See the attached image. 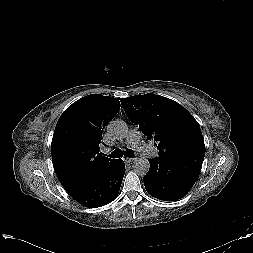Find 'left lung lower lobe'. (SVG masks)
Segmentation results:
<instances>
[{"mask_svg": "<svg viewBox=\"0 0 253 253\" xmlns=\"http://www.w3.org/2000/svg\"><path fill=\"white\" fill-rule=\"evenodd\" d=\"M149 163V171L143 177L147 192L160 200L175 201L190 191L203 161L187 157H156L149 159Z\"/></svg>", "mask_w": 253, "mask_h": 253, "instance_id": "0a47b994", "label": "left lung lower lobe"}]
</instances>
